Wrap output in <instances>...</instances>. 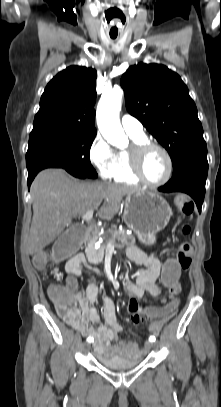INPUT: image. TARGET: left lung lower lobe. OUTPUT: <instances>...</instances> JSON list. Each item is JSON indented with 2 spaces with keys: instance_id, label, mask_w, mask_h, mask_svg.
<instances>
[{
  "instance_id": "1",
  "label": "left lung lower lobe",
  "mask_w": 221,
  "mask_h": 407,
  "mask_svg": "<svg viewBox=\"0 0 221 407\" xmlns=\"http://www.w3.org/2000/svg\"><path fill=\"white\" fill-rule=\"evenodd\" d=\"M208 173L207 154H200L185 160L173 171L171 180L160 187V192H184L189 194L201 212Z\"/></svg>"
}]
</instances>
